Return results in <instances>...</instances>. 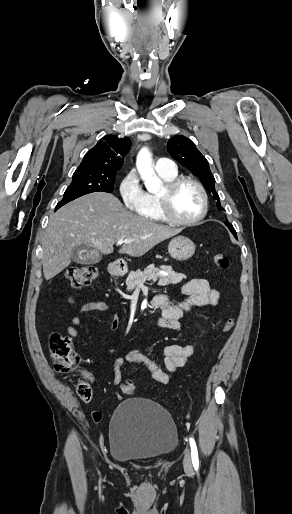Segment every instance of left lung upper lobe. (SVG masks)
I'll use <instances>...</instances> for the list:
<instances>
[{
	"label": "left lung upper lobe",
	"instance_id": "left-lung-upper-lobe-1",
	"mask_svg": "<svg viewBox=\"0 0 292 514\" xmlns=\"http://www.w3.org/2000/svg\"><path fill=\"white\" fill-rule=\"evenodd\" d=\"M167 150L171 157L198 176L202 184L217 200L218 210H224L220 204L219 196L215 190V179L210 171L207 159L196 148L195 144L187 137L176 135L168 141ZM225 225L237 238L236 231L231 223L225 221Z\"/></svg>",
	"mask_w": 292,
	"mask_h": 514
}]
</instances>
